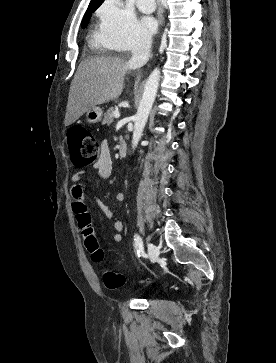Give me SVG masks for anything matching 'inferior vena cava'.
<instances>
[{"label": "inferior vena cava", "mask_w": 276, "mask_h": 363, "mask_svg": "<svg viewBox=\"0 0 276 363\" xmlns=\"http://www.w3.org/2000/svg\"><path fill=\"white\" fill-rule=\"evenodd\" d=\"M152 39L149 34L139 35L132 47V57L129 63L134 68H139L145 65L150 56Z\"/></svg>", "instance_id": "inferior-vena-cava-1"}]
</instances>
